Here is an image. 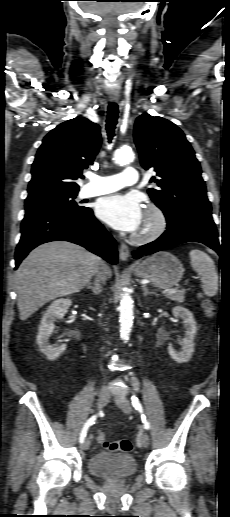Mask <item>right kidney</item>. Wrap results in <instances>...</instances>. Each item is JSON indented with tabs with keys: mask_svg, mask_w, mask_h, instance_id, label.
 I'll list each match as a JSON object with an SVG mask.
<instances>
[{
	"mask_svg": "<svg viewBox=\"0 0 230 517\" xmlns=\"http://www.w3.org/2000/svg\"><path fill=\"white\" fill-rule=\"evenodd\" d=\"M71 304L72 301L70 299H57L51 303L43 315L36 341L40 351L48 360L57 359L66 349V344L56 347L50 345L49 337L54 330V322L63 318Z\"/></svg>",
	"mask_w": 230,
	"mask_h": 517,
	"instance_id": "ca27d5eb",
	"label": "right kidney"
}]
</instances>
